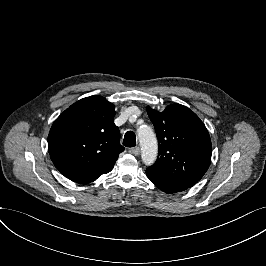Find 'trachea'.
Returning <instances> with one entry per match:
<instances>
[{
    "label": "trachea",
    "instance_id": "obj_1",
    "mask_svg": "<svg viewBox=\"0 0 266 266\" xmlns=\"http://www.w3.org/2000/svg\"><path fill=\"white\" fill-rule=\"evenodd\" d=\"M123 145L125 147H134L136 145V136L132 131L126 132L123 140Z\"/></svg>",
    "mask_w": 266,
    "mask_h": 266
}]
</instances>
